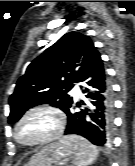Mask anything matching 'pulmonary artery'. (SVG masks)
Instances as JSON below:
<instances>
[{
    "mask_svg": "<svg viewBox=\"0 0 135 166\" xmlns=\"http://www.w3.org/2000/svg\"><path fill=\"white\" fill-rule=\"evenodd\" d=\"M72 92L75 96H79L81 94V91L78 85L74 86Z\"/></svg>",
    "mask_w": 135,
    "mask_h": 166,
    "instance_id": "1",
    "label": "pulmonary artery"
}]
</instances>
